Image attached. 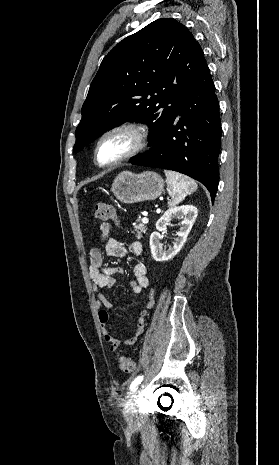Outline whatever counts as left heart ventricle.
Here are the masks:
<instances>
[{"label":"left heart ventricle","mask_w":279,"mask_h":465,"mask_svg":"<svg viewBox=\"0 0 279 465\" xmlns=\"http://www.w3.org/2000/svg\"><path fill=\"white\" fill-rule=\"evenodd\" d=\"M135 144V137L126 131L116 132L102 142L99 149V159L106 163L127 153Z\"/></svg>","instance_id":"1"}]
</instances>
